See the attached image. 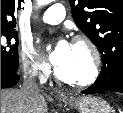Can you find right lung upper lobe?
<instances>
[{
  "label": "right lung upper lobe",
  "mask_w": 123,
  "mask_h": 113,
  "mask_svg": "<svg viewBox=\"0 0 123 113\" xmlns=\"http://www.w3.org/2000/svg\"><path fill=\"white\" fill-rule=\"evenodd\" d=\"M22 0H1V29L15 28V11L19 10Z\"/></svg>",
  "instance_id": "1"
}]
</instances>
